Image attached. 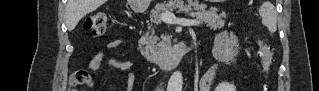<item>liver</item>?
<instances>
[{
    "label": "liver",
    "instance_id": "6515ba94",
    "mask_svg": "<svg viewBox=\"0 0 319 91\" xmlns=\"http://www.w3.org/2000/svg\"><path fill=\"white\" fill-rule=\"evenodd\" d=\"M105 0H69L67 4V25L74 29L87 14L95 11Z\"/></svg>",
    "mask_w": 319,
    "mask_h": 91
}]
</instances>
